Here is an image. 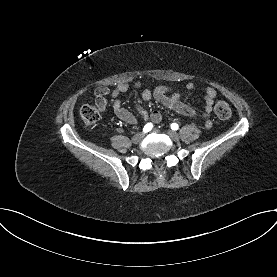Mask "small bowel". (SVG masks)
Masks as SVG:
<instances>
[{
  "label": "small bowel",
  "instance_id": "obj_1",
  "mask_svg": "<svg viewBox=\"0 0 277 277\" xmlns=\"http://www.w3.org/2000/svg\"><path fill=\"white\" fill-rule=\"evenodd\" d=\"M131 87L136 89H142V98L144 101H149L152 98L160 102L163 106L167 107L170 110L175 111L178 114L190 117L197 118L199 112L192 108L191 106L183 103L181 101V94L178 91H173V88L167 85H160L150 91L147 88H144L140 82L134 84L120 83L118 84L110 93L112 98V107L116 116L124 122L129 124H136L138 122L137 118L125 107H123L121 102V94L127 92ZM195 88L193 83H188L184 86V90L190 91ZM109 94V89L103 86H100L95 89L94 96L95 101L104 102L105 96ZM216 90L213 87H206L204 91V112L209 114L212 111L214 99L216 98ZM137 111L142 116L144 120H150L153 123H159L162 119V115L159 111L154 110L148 112L141 105H137ZM211 121H206V127L211 126Z\"/></svg>",
  "mask_w": 277,
  "mask_h": 277
}]
</instances>
